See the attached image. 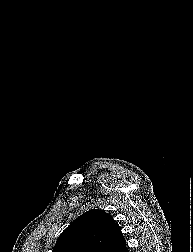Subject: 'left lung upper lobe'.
I'll use <instances>...</instances> for the list:
<instances>
[{"label": "left lung upper lobe", "mask_w": 193, "mask_h": 252, "mask_svg": "<svg viewBox=\"0 0 193 252\" xmlns=\"http://www.w3.org/2000/svg\"><path fill=\"white\" fill-rule=\"evenodd\" d=\"M120 226L104 210L76 218L58 237L52 252H125Z\"/></svg>", "instance_id": "obj_1"}]
</instances>
